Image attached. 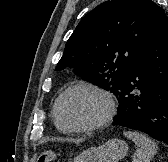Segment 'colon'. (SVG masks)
Returning <instances> with one entry per match:
<instances>
[{
	"mask_svg": "<svg viewBox=\"0 0 168 162\" xmlns=\"http://www.w3.org/2000/svg\"><path fill=\"white\" fill-rule=\"evenodd\" d=\"M56 159V154L53 151H44L42 152L36 162H52Z\"/></svg>",
	"mask_w": 168,
	"mask_h": 162,
	"instance_id": "obj_1",
	"label": "colon"
}]
</instances>
